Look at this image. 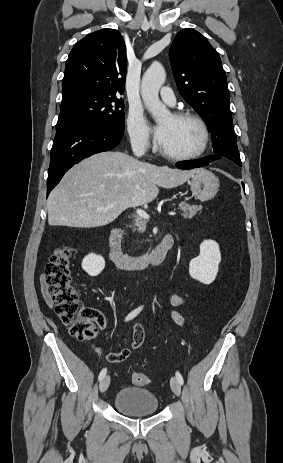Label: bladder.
I'll return each mask as SVG.
<instances>
[{
	"instance_id": "obj_1",
	"label": "bladder",
	"mask_w": 283,
	"mask_h": 463,
	"mask_svg": "<svg viewBox=\"0 0 283 463\" xmlns=\"http://www.w3.org/2000/svg\"><path fill=\"white\" fill-rule=\"evenodd\" d=\"M115 408L130 417H143L156 414L159 410V400L151 391L142 387L125 386L115 394Z\"/></svg>"
}]
</instances>
